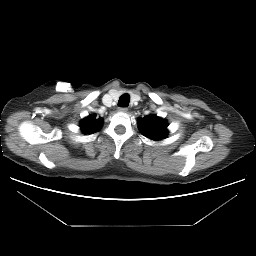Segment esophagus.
<instances>
[{"label": "esophagus", "mask_w": 256, "mask_h": 256, "mask_svg": "<svg viewBox=\"0 0 256 256\" xmlns=\"http://www.w3.org/2000/svg\"><path fill=\"white\" fill-rule=\"evenodd\" d=\"M118 111L122 112V113H126L128 111V108L127 107H120L118 109Z\"/></svg>", "instance_id": "obj_1"}]
</instances>
